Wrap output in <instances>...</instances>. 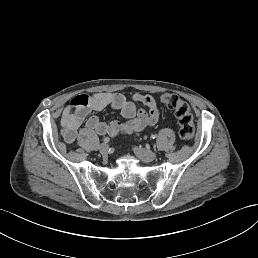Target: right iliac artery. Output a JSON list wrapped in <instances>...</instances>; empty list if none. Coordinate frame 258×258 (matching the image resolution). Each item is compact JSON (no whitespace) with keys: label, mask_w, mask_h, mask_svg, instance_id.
Segmentation results:
<instances>
[{"label":"right iliac artery","mask_w":258,"mask_h":258,"mask_svg":"<svg viewBox=\"0 0 258 258\" xmlns=\"http://www.w3.org/2000/svg\"><path fill=\"white\" fill-rule=\"evenodd\" d=\"M103 141H104L105 143H108V142L110 141V138H109V137H106V138L103 139Z\"/></svg>","instance_id":"82829eb1"}]
</instances>
